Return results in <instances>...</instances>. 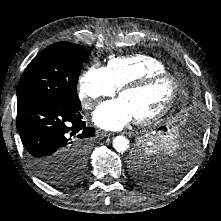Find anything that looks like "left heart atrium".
I'll use <instances>...</instances> for the list:
<instances>
[{
  "mask_svg": "<svg viewBox=\"0 0 221 221\" xmlns=\"http://www.w3.org/2000/svg\"><path fill=\"white\" fill-rule=\"evenodd\" d=\"M96 125L106 130H119L134 120V115L121 99L105 101L101 103L93 113Z\"/></svg>",
  "mask_w": 221,
  "mask_h": 221,
  "instance_id": "left-heart-atrium-1",
  "label": "left heart atrium"
}]
</instances>
